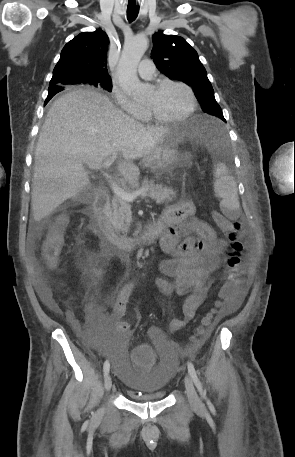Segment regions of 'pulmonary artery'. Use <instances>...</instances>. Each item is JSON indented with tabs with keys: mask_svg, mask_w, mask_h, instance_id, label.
I'll return each instance as SVG.
<instances>
[{
	"mask_svg": "<svg viewBox=\"0 0 295 457\" xmlns=\"http://www.w3.org/2000/svg\"><path fill=\"white\" fill-rule=\"evenodd\" d=\"M138 74L144 79H153L155 76L154 63L149 59H144L138 66Z\"/></svg>",
	"mask_w": 295,
	"mask_h": 457,
	"instance_id": "1",
	"label": "pulmonary artery"
}]
</instances>
